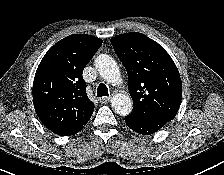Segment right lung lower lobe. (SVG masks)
<instances>
[{
	"label": "right lung lower lobe",
	"mask_w": 224,
	"mask_h": 175,
	"mask_svg": "<svg viewBox=\"0 0 224 175\" xmlns=\"http://www.w3.org/2000/svg\"><path fill=\"white\" fill-rule=\"evenodd\" d=\"M85 125H86V124H84V125H82V126L76 128V129H74V130H72V131H70V132L64 134L63 136L73 135V134L79 132L81 129H83V127H84Z\"/></svg>",
	"instance_id": "1"
}]
</instances>
